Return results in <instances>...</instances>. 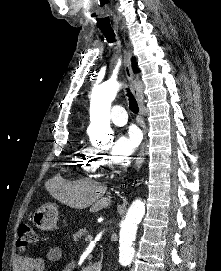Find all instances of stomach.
I'll return each instance as SVG.
<instances>
[{"label": "stomach", "instance_id": "obj_1", "mask_svg": "<svg viewBox=\"0 0 221 271\" xmlns=\"http://www.w3.org/2000/svg\"><path fill=\"white\" fill-rule=\"evenodd\" d=\"M58 209L55 203H44L32 215V221L40 229H56Z\"/></svg>", "mask_w": 221, "mask_h": 271}]
</instances>
